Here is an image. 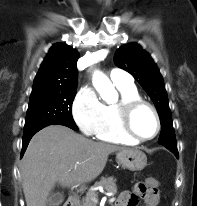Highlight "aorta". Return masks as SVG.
I'll list each match as a JSON object with an SVG mask.
<instances>
[{
	"mask_svg": "<svg viewBox=\"0 0 197 206\" xmlns=\"http://www.w3.org/2000/svg\"><path fill=\"white\" fill-rule=\"evenodd\" d=\"M93 85L99 92L102 99L106 102H112L116 97L115 89L106 75L100 71H95L93 74Z\"/></svg>",
	"mask_w": 197,
	"mask_h": 206,
	"instance_id": "1",
	"label": "aorta"
}]
</instances>
